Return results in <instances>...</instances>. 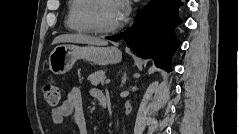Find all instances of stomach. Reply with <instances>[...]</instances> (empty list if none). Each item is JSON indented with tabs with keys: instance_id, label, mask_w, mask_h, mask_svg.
<instances>
[{
	"instance_id": "1",
	"label": "stomach",
	"mask_w": 239,
	"mask_h": 134,
	"mask_svg": "<svg viewBox=\"0 0 239 134\" xmlns=\"http://www.w3.org/2000/svg\"><path fill=\"white\" fill-rule=\"evenodd\" d=\"M78 59L97 65L116 64L122 60V52L115 46L58 45L50 53L48 64L52 73L59 75L68 72Z\"/></svg>"
}]
</instances>
